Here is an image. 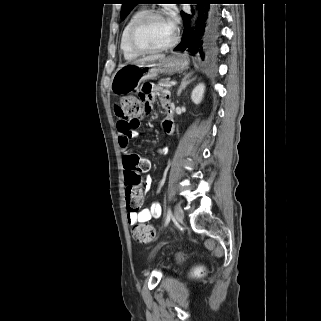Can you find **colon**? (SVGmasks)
<instances>
[{"label":"colon","instance_id":"1","mask_svg":"<svg viewBox=\"0 0 321 321\" xmlns=\"http://www.w3.org/2000/svg\"><path fill=\"white\" fill-rule=\"evenodd\" d=\"M116 115L124 121L139 124L140 120L151 112V105L143 98L127 96L120 100L115 109ZM148 160L139 155L131 156L125 164V193L129 211H137L143 201L142 173L149 170ZM133 237L140 243H149L155 236V228L151 225H137L132 230Z\"/></svg>","mask_w":321,"mask_h":321}]
</instances>
